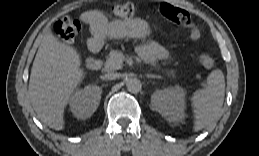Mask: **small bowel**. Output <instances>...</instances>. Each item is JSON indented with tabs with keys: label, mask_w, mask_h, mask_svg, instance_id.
Segmentation results:
<instances>
[{
	"label": "small bowel",
	"mask_w": 259,
	"mask_h": 156,
	"mask_svg": "<svg viewBox=\"0 0 259 156\" xmlns=\"http://www.w3.org/2000/svg\"><path fill=\"white\" fill-rule=\"evenodd\" d=\"M82 21L90 27L91 37L88 40L90 46L94 41L101 45L107 38H146L150 35L148 22L141 18H129L109 21L105 14L99 10H89L81 15ZM153 55L159 59H166L168 52L162 46L152 43Z\"/></svg>",
	"instance_id": "obj_1"
}]
</instances>
